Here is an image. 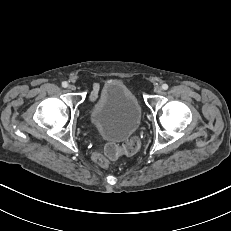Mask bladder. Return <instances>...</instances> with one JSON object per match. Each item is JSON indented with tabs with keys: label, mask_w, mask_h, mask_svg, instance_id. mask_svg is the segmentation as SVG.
<instances>
[{
	"label": "bladder",
	"mask_w": 231,
	"mask_h": 231,
	"mask_svg": "<svg viewBox=\"0 0 231 231\" xmlns=\"http://www.w3.org/2000/svg\"><path fill=\"white\" fill-rule=\"evenodd\" d=\"M142 115L141 104L129 87L118 79H110L102 85L89 117L103 136L123 140L139 128Z\"/></svg>",
	"instance_id": "bladder-1"
}]
</instances>
